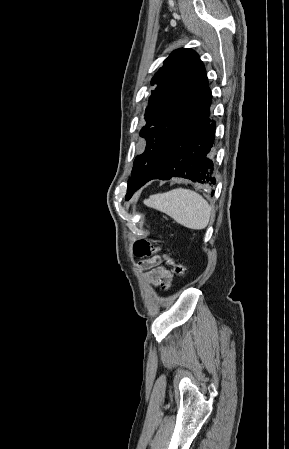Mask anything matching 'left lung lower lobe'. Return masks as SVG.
Masks as SVG:
<instances>
[{"mask_svg":"<svg viewBox=\"0 0 289 449\" xmlns=\"http://www.w3.org/2000/svg\"><path fill=\"white\" fill-rule=\"evenodd\" d=\"M211 98V90L207 87L187 121L166 137L161 172L144 181L136 190L152 179L169 180L173 177L215 184L211 148L216 125L210 118Z\"/></svg>","mask_w":289,"mask_h":449,"instance_id":"obj_1","label":"left lung lower lobe"}]
</instances>
